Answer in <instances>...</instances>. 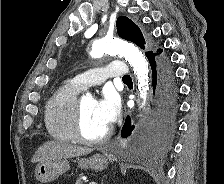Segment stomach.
I'll list each match as a JSON object with an SVG mask.
<instances>
[{"label": "stomach", "mask_w": 224, "mask_h": 184, "mask_svg": "<svg viewBox=\"0 0 224 184\" xmlns=\"http://www.w3.org/2000/svg\"><path fill=\"white\" fill-rule=\"evenodd\" d=\"M108 157L104 154H95L89 158L78 159L81 168H91L95 171H102L108 167ZM69 169V162L66 159L41 162L36 166L35 177L41 183H49Z\"/></svg>", "instance_id": "0dacf381"}]
</instances>
